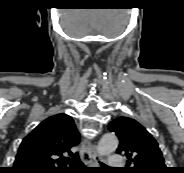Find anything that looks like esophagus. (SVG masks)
<instances>
[{
  "mask_svg": "<svg viewBox=\"0 0 184 173\" xmlns=\"http://www.w3.org/2000/svg\"><path fill=\"white\" fill-rule=\"evenodd\" d=\"M97 150L96 145L87 139L81 144V160L87 166H94L96 163Z\"/></svg>",
  "mask_w": 184,
  "mask_h": 173,
  "instance_id": "esophagus-1",
  "label": "esophagus"
}]
</instances>
